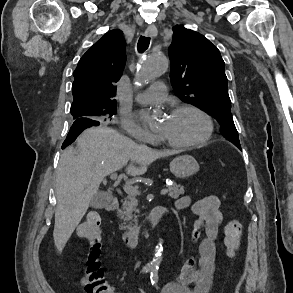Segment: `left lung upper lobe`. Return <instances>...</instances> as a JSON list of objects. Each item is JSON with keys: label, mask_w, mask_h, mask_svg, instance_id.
<instances>
[{"label": "left lung upper lobe", "mask_w": 293, "mask_h": 293, "mask_svg": "<svg viewBox=\"0 0 293 293\" xmlns=\"http://www.w3.org/2000/svg\"><path fill=\"white\" fill-rule=\"evenodd\" d=\"M171 46L170 79L183 101L208 111L220 124L224 137L240 147L231 115L225 63L217 47L198 32L176 25Z\"/></svg>", "instance_id": "5c2ea615"}]
</instances>
